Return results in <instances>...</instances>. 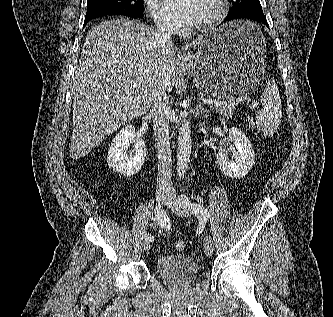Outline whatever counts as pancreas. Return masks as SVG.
Returning <instances> with one entry per match:
<instances>
[{"label":"pancreas","mask_w":333,"mask_h":317,"mask_svg":"<svg viewBox=\"0 0 333 317\" xmlns=\"http://www.w3.org/2000/svg\"><path fill=\"white\" fill-rule=\"evenodd\" d=\"M211 109L217 112L220 115L225 117H231L235 111V105H229V103H222L220 105L212 104Z\"/></svg>","instance_id":"cf45deb5"}]
</instances>
